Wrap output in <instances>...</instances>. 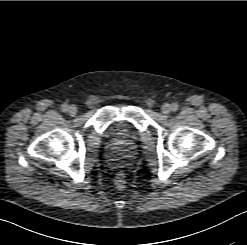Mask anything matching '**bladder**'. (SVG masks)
<instances>
[{
    "label": "bladder",
    "instance_id": "31cf9c89",
    "mask_svg": "<svg viewBox=\"0 0 247 245\" xmlns=\"http://www.w3.org/2000/svg\"><path fill=\"white\" fill-rule=\"evenodd\" d=\"M112 137L115 140H127L130 138V135L122 126L115 127L112 132Z\"/></svg>",
    "mask_w": 247,
    "mask_h": 245
}]
</instances>
